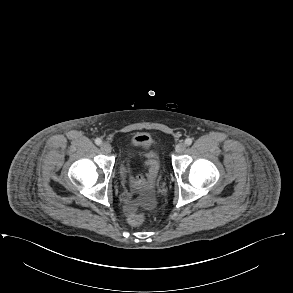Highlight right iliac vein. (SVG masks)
Masks as SVG:
<instances>
[{
  "label": "right iliac vein",
  "instance_id": "right-iliac-vein-1",
  "mask_svg": "<svg viewBox=\"0 0 293 293\" xmlns=\"http://www.w3.org/2000/svg\"><path fill=\"white\" fill-rule=\"evenodd\" d=\"M101 150L105 153H110L112 151V147L109 143L104 142L101 144Z\"/></svg>",
  "mask_w": 293,
  "mask_h": 293
}]
</instances>
